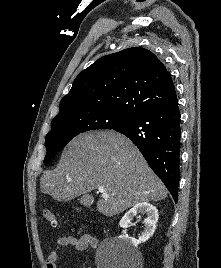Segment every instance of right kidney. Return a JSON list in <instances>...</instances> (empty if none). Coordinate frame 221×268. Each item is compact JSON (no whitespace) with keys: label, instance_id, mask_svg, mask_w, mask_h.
I'll return each instance as SVG.
<instances>
[{"label":"right kidney","instance_id":"right-kidney-1","mask_svg":"<svg viewBox=\"0 0 221 268\" xmlns=\"http://www.w3.org/2000/svg\"><path fill=\"white\" fill-rule=\"evenodd\" d=\"M137 214H146V218L144 219V228L142 236L136 240L132 237H129L127 234L119 236V239L124 241L127 244H131L135 247H137L139 244L147 241L154 233L156 229V224L158 222V210L155 206L151 205L147 202H141L136 204L132 209H130L120 220V227L123 229H126L129 227V224L131 223V220L137 215Z\"/></svg>","mask_w":221,"mask_h":268}]
</instances>
